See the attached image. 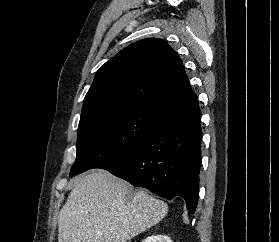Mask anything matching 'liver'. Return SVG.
<instances>
[{
  "mask_svg": "<svg viewBox=\"0 0 279 242\" xmlns=\"http://www.w3.org/2000/svg\"><path fill=\"white\" fill-rule=\"evenodd\" d=\"M58 217V242H127L161 221L168 205L98 170L74 179Z\"/></svg>",
  "mask_w": 279,
  "mask_h": 242,
  "instance_id": "1",
  "label": "liver"
}]
</instances>
